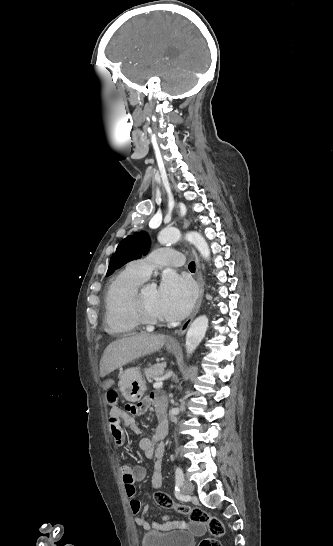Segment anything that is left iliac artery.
<instances>
[{"label": "left iliac artery", "instance_id": "obj_1", "mask_svg": "<svg viewBox=\"0 0 333 546\" xmlns=\"http://www.w3.org/2000/svg\"><path fill=\"white\" fill-rule=\"evenodd\" d=\"M175 479H176V487L175 490H178L179 486L182 485L184 480V474L180 467H176L175 470Z\"/></svg>", "mask_w": 333, "mask_h": 546}]
</instances>
